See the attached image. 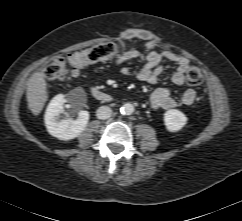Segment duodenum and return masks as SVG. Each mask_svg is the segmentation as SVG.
<instances>
[{
	"instance_id": "duodenum-1",
	"label": "duodenum",
	"mask_w": 242,
	"mask_h": 221,
	"mask_svg": "<svg viewBox=\"0 0 242 221\" xmlns=\"http://www.w3.org/2000/svg\"><path fill=\"white\" fill-rule=\"evenodd\" d=\"M91 93L98 100L107 101V102L112 100L111 95H109L105 91L99 89L98 87H92Z\"/></svg>"
}]
</instances>
